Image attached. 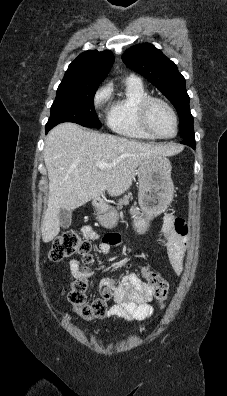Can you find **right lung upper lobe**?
I'll list each match as a JSON object with an SVG mask.
<instances>
[{
  "label": "right lung upper lobe",
  "mask_w": 227,
  "mask_h": 396,
  "mask_svg": "<svg viewBox=\"0 0 227 396\" xmlns=\"http://www.w3.org/2000/svg\"><path fill=\"white\" fill-rule=\"evenodd\" d=\"M114 62L111 51L89 50L80 54L68 67L62 81L101 83Z\"/></svg>",
  "instance_id": "obj_1"
}]
</instances>
